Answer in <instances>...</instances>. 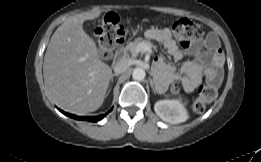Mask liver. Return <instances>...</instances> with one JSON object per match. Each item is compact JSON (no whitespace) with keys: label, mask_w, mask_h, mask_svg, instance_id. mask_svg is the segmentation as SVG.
Wrapping results in <instances>:
<instances>
[{"label":"liver","mask_w":261,"mask_h":162,"mask_svg":"<svg viewBox=\"0 0 261 162\" xmlns=\"http://www.w3.org/2000/svg\"><path fill=\"white\" fill-rule=\"evenodd\" d=\"M101 10L66 19L48 44L44 83L49 96L62 109L83 115L104 102L112 70L97 57L95 42L83 30V22L99 17Z\"/></svg>","instance_id":"liver-1"}]
</instances>
